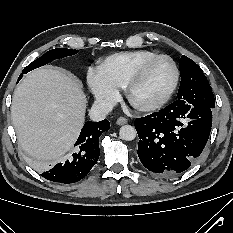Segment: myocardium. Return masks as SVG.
Returning <instances> with one entry per match:
<instances>
[{"label": "myocardium", "mask_w": 233, "mask_h": 233, "mask_svg": "<svg viewBox=\"0 0 233 233\" xmlns=\"http://www.w3.org/2000/svg\"><path fill=\"white\" fill-rule=\"evenodd\" d=\"M158 59H167L170 61V63L172 64L173 67V71H174V76H173V80L169 86V88L167 89V91L163 94V96L161 98H159L157 101L147 104V105H136L131 101L130 98V93L132 88L135 86V84L140 80V78L142 77L144 71L146 70V68L154 61L158 60ZM179 78H180V72L178 69V66L175 62V60L166 54H156L146 60H144L142 63H140L136 69L130 74V76L128 77L127 81L125 82L124 85V93H125V97L128 100V102L136 109L143 111V112H150V111H154L157 110L159 108H161L163 105H165L167 103V101L171 98V96L173 95L174 91L177 88L178 82H179Z\"/></svg>", "instance_id": "obj_1"}]
</instances>
